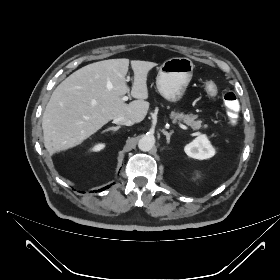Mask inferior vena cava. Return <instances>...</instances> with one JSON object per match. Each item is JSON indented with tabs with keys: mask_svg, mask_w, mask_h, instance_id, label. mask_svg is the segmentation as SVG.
I'll return each mask as SVG.
<instances>
[{
	"mask_svg": "<svg viewBox=\"0 0 280 280\" xmlns=\"http://www.w3.org/2000/svg\"><path fill=\"white\" fill-rule=\"evenodd\" d=\"M113 123L119 124V125L131 126L134 124V121L131 119H128L126 117L120 116V117L114 118Z\"/></svg>",
	"mask_w": 280,
	"mask_h": 280,
	"instance_id": "602c4592",
	"label": "inferior vena cava"
}]
</instances>
